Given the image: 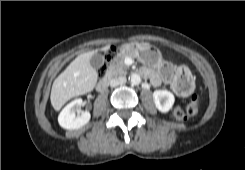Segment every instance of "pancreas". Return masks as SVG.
<instances>
[{
  "mask_svg": "<svg viewBox=\"0 0 245 170\" xmlns=\"http://www.w3.org/2000/svg\"><path fill=\"white\" fill-rule=\"evenodd\" d=\"M131 56L127 51H121L113 59L108 67L107 77L112 78L116 76L125 75L129 67L124 63L125 57Z\"/></svg>",
  "mask_w": 245,
  "mask_h": 170,
  "instance_id": "obj_1",
  "label": "pancreas"
}]
</instances>
